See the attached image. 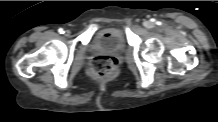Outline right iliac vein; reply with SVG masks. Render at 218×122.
<instances>
[{
	"label": "right iliac vein",
	"mask_w": 218,
	"mask_h": 122,
	"mask_svg": "<svg viewBox=\"0 0 218 122\" xmlns=\"http://www.w3.org/2000/svg\"><path fill=\"white\" fill-rule=\"evenodd\" d=\"M64 33H65L66 36L70 35V31L69 30H66Z\"/></svg>",
	"instance_id": "63e3f726"
}]
</instances>
